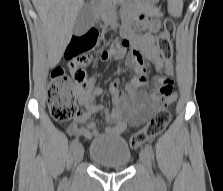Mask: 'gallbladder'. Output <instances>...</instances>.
Wrapping results in <instances>:
<instances>
[{
	"label": "gallbladder",
	"instance_id": "bac80fb5",
	"mask_svg": "<svg viewBox=\"0 0 223 191\" xmlns=\"http://www.w3.org/2000/svg\"><path fill=\"white\" fill-rule=\"evenodd\" d=\"M92 24V12L89 6L84 5L79 11L73 26V33L75 35L84 34Z\"/></svg>",
	"mask_w": 223,
	"mask_h": 191
}]
</instances>
